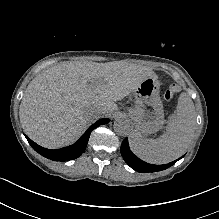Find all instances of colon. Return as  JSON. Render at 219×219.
Segmentation results:
<instances>
[{"label":"colon","instance_id":"1","mask_svg":"<svg viewBox=\"0 0 219 219\" xmlns=\"http://www.w3.org/2000/svg\"><path fill=\"white\" fill-rule=\"evenodd\" d=\"M180 92L178 84H172L162 92V98L166 101L172 100Z\"/></svg>","mask_w":219,"mask_h":219}]
</instances>
